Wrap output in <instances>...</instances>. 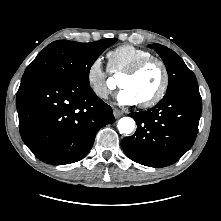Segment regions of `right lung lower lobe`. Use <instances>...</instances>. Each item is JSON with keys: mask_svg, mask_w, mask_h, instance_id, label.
Wrapping results in <instances>:
<instances>
[{"mask_svg": "<svg viewBox=\"0 0 221 221\" xmlns=\"http://www.w3.org/2000/svg\"><path fill=\"white\" fill-rule=\"evenodd\" d=\"M16 106L22 140L52 165L84 158L97 131L115 121L111 107L89 84L53 74L23 75Z\"/></svg>", "mask_w": 221, "mask_h": 221, "instance_id": "1", "label": "right lung lower lobe"}]
</instances>
